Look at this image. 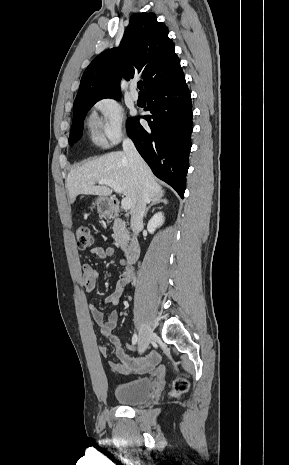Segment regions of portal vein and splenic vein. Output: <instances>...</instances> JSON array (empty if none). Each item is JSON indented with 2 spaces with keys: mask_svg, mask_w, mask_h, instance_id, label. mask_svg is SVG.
<instances>
[{
  "mask_svg": "<svg viewBox=\"0 0 289 465\" xmlns=\"http://www.w3.org/2000/svg\"><path fill=\"white\" fill-rule=\"evenodd\" d=\"M98 184L107 185V186L111 187L112 189H114L115 192H117L119 194L122 193V188L116 182H114L112 180H108V179L100 180V181H98ZM121 207L124 210H129L131 208V200L129 198H123L122 201H121Z\"/></svg>",
  "mask_w": 289,
  "mask_h": 465,
  "instance_id": "1",
  "label": "portal vein and splenic vein"
}]
</instances>
